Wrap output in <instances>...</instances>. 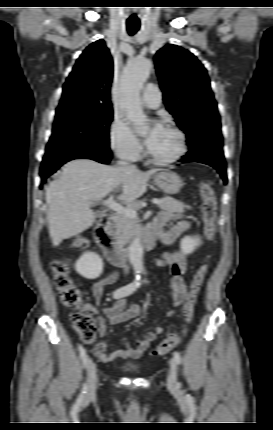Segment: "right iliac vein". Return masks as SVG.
Listing matches in <instances>:
<instances>
[{
	"instance_id": "1",
	"label": "right iliac vein",
	"mask_w": 273,
	"mask_h": 430,
	"mask_svg": "<svg viewBox=\"0 0 273 430\" xmlns=\"http://www.w3.org/2000/svg\"><path fill=\"white\" fill-rule=\"evenodd\" d=\"M97 388L96 367L91 358L87 360V388L86 398H92L95 395Z\"/></svg>"
}]
</instances>
